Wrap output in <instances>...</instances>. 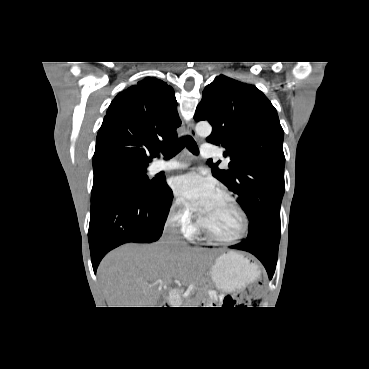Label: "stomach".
Returning a JSON list of instances; mask_svg holds the SVG:
<instances>
[{
	"label": "stomach",
	"mask_w": 369,
	"mask_h": 369,
	"mask_svg": "<svg viewBox=\"0 0 369 369\" xmlns=\"http://www.w3.org/2000/svg\"><path fill=\"white\" fill-rule=\"evenodd\" d=\"M257 274V266L236 252L223 254L211 268L216 287L228 293L241 289L253 281Z\"/></svg>",
	"instance_id": "1"
}]
</instances>
